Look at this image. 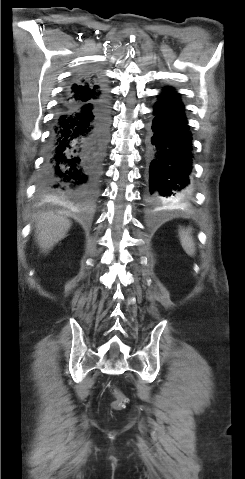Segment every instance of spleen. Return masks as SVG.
<instances>
[{
    "instance_id": "1",
    "label": "spleen",
    "mask_w": 245,
    "mask_h": 479,
    "mask_svg": "<svg viewBox=\"0 0 245 479\" xmlns=\"http://www.w3.org/2000/svg\"><path fill=\"white\" fill-rule=\"evenodd\" d=\"M179 236L184 251L189 256H193L195 253V243L193 237L191 236V232L188 229H181L179 232Z\"/></svg>"
}]
</instances>
